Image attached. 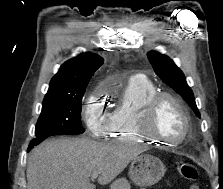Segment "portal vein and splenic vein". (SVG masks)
<instances>
[{"label": "portal vein and splenic vein", "instance_id": "obj_1", "mask_svg": "<svg viewBox=\"0 0 223 189\" xmlns=\"http://www.w3.org/2000/svg\"><path fill=\"white\" fill-rule=\"evenodd\" d=\"M99 175V172L96 171V172H93V174L91 175V180H95Z\"/></svg>", "mask_w": 223, "mask_h": 189}]
</instances>
